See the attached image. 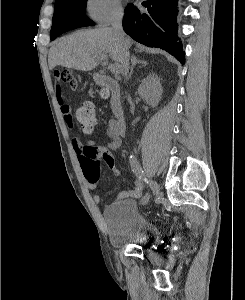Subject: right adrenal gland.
<instances>
[{
	"instance_id": "obj_1",
	"label": "right adrenal gland",
	"mask_w": 245,
	"mask_h": 300,
	"mask_svg": "<svg viewBox=\"0 0 245 300\" xmlns=\"http://www.w3.org/2000/svg\"><path fill=\"white\" fill-rule=\"evenodd\" d=\"M137 64H143V65H147V61L144 60H139L137 59V57H135L134 55L131 57V69H130V73L128 75V78H131L132 74H133V69L135 67V65Z\"/></svg>"
}]
</instances>
